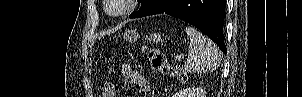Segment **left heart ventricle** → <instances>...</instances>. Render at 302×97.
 Instances as JSON below:
<instances>
[{"mask_svg":"<svg viewBox=\"0 0 302 97\" xmlns=\"http://www.w3.org/2000/svg\"><path fill=\"white\" fill-rule=\"evenodd\" d=\"M124 5L122 3V0H113L112 5H111V10L113 12H118L123 9Z\"/></svg>","mask_w":302,"mask_h":97,"instance_id":"b2bd125f","label":"left heart ventricle"}]
</instances>
